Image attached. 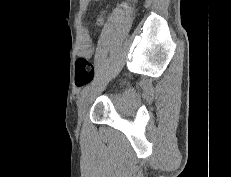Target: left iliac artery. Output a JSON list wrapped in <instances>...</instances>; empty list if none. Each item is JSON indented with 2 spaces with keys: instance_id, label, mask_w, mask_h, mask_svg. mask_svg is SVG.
Wrapping results in <instances>:
<instances>
[{
  "instance_id": "left-iliac-artery-1",
  "label": "left iliac artery",
  "mask_w": 231,
  "mask_h": 177,
  "mask_svg": "<svg viewBox=\"0 0 231 177\" xmlns=\"http://www.w3.org/2000/svg\"><path fill=\"white\" fill-rule=\"evenodd\" d=\"M90 88H91L90 85L85 86L83 90L81 91V96L83 97L85 94H87Z\"/></svg>"
}]
</instances>
